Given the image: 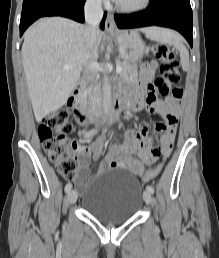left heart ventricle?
<instances>
[{"mask_svg":"<svg viewBox=\"0 0 219 258\" xmlns=\"http://www.w3.org/2000/svg\"><path fill=\"white\" fill-rule=\"evenodd\" d=\"M141 0H119V3L123 5H136L140 2Z\"/></svg>","mask_w":219,"mask_h":258,"instance_id":"obj_1","label":"left heart ventricle"}]
</instances>
